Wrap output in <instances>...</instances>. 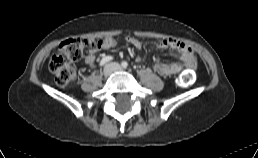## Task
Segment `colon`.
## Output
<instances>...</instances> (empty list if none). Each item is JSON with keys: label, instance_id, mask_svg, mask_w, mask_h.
Segmentation results:
<instances>
[{"label": "colon", "instance_id": "1", "mask_svg": "<svg viewBox=\"0 0 258 158\" xmlns=\"http://www.w3.org/2000/svg\"><path fill=\"white\" fill-rule=\"evenodd\" d=\"M105 39L100 37H74L65 39L52 56L49 69L55 76L57 84L68 86L77 79L75 62L84 55H90L104 48ZM194 80L192 70H186L179 78L180 86H188Z\"/></svg>", "mask_w": 258, "mask_h": 158}]
</instances>
